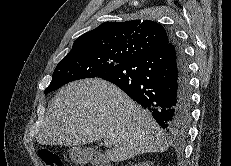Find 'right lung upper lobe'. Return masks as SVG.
I'll list each match as a JSON object with an SVG mask.
<instances>
[{
    "instance_id": "1",
    "label": "right lung upper lobe",
    "mask_w": 231,
    "mask_h": 166,
    "mask_svg": "<svg viewBox=\"0 0 231 166\" xmlns=\"http://www.w3.org/2000/svg\"><path fill=\"white\" fill-rule=\"evenodd\" d=\"M170 40L165 28L154 21L104 22L77 38L69 53L90 49L129 61L160 50Z\"/></svg>"
}]
</instances>
